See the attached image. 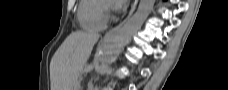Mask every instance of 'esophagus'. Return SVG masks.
<instances>
[{"label":"esophagus","instance_id":"obj_1","mask_svg":"<svg viewBox=\"0 0 228 90\" xmlns=\"http://www.w3.org/2000/svg\"><path fill=\"white\" fill-rule=\"evenodd\" d=\"M138 0H134L133 4L131 6V10L128 14V16L126 17V19L124 21H122L119 25H117L116 27L112 28L111 30H109L105 36H104V40L108 39L109 37H111L112 35H114L121 27L122 25L126 22V20L132 15V13L134 12L136 5H137Z\"/></svg>","mask_w":228,"mask_h":90}]
</instances>
